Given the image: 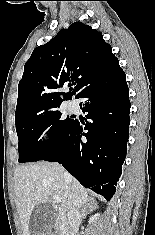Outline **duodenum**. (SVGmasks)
Wrapping results in <instances>:
<instances>
[{
  "instance_id": "obj_1",
  "label": "duodenum",
  "mask_w": 155,
  "mask_h": 235,
  "mask_svg": "<svg viewBox=\"0 0 155 235\" xmlns=\"http://www.w3.org/2000/svg\"><path fill=\"white\" fill-rule=\"evenodd\" d=\"M57 229V232L62 235H73L72 231L67 228L65 223H59Z\"/></svg>"
}]
</instances>
